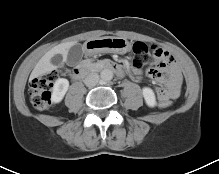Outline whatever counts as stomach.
<instances>
[{"label":"stomach","instance_id":"obj_1","mask_svg":"<svg viewBox=\"0 0 219 174\" xmlns=\"http://www.w3.org/2000/svg\"><path fill=\"white\" fill-rule=\"evenodd\" d=\"M131 44L122 37H101L87 40L84 44L85 51L88 55L98 53H118L125 54L129 51Z\"/></svg>","mask_w":219,"mask_h":174}]
</instances>
